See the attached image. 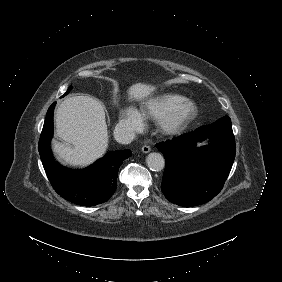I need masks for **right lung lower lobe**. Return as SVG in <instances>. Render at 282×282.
<instances>
[{
	"label": "right lung lower lobe",
	"instance_id": "98d812e1",
	"mask_svg": "<svg viewBox=\"0 0 282 282\" xmlns=\"http://www.w3.org/2000/svg\"><path fill=\"white\" fill-rule=\"evenodd\" d=\"M65 95L66 93L62 97ZM55 104L54 102L48 109L38 145L40 158L52 187L64 199L82 206H95L106 202L117 188L119 167L132 155L131 151L109 152L83 170H71L61 166L55 162L50 149Z\"/></svg>",
	"mask_w": 282,
	"mask_h": 282
}]
</instances>
